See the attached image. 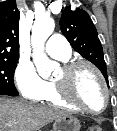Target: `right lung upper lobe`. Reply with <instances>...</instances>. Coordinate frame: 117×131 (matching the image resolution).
Listing matches in <instances>:
<instances>
[{"mask_svg": "<svg viewBox=\"0 0 117 131\" xmlns=\"http://www.w3.org/2000/svg\"><path fill=\"white\" fill-rule=\"evenodd\" d=\"M19 19L15 0L0 3V57L19 58Z\"/></svg>", "mask_w": 117, "mask_h": 131, "instance_id": "1", "label": "right lung upper lobe"}]
</instances>
